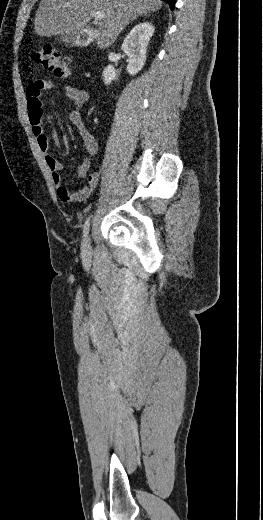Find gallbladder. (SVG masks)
<instances>
[{
	"label": "gallbladder",
	"mask_w": 263,
	"mask_h": 520,
	"mask_svg": "<svg viewBox=\"0 0 263 520\" xmlns=\"http://www.w3.org/2000/svg\"><path fill=\"white\" fill-rule=\"evenodd\" d=\"M59 40L62 41L66 46L75 47L79 46V33L61 35Z\"/></svg>",
	"instance_id": "bac80fb5"
}]
</instances>
